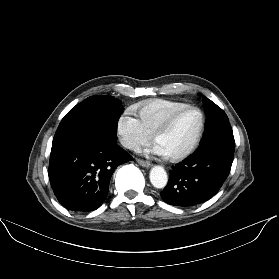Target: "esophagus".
Here are the masks:
<instances>
[{
	"mask_svg": "<svg viewBox=\"0 0 279 279\" xmlns=\"http://www.w3.org/2000/svg\"><path fill=\"white\" fill-rule=\"evenodd\" d=\"M138 164H140L142 167H145V168H149L151 166V163L148 162V161H144V160H141V159H137L136 160Z\"/></svg>",
	"mask_w": 279,
	"mask_h": 279,
	"instance_id": "esophagus-1",
	"label": "esophagus"
}]
</instances>
